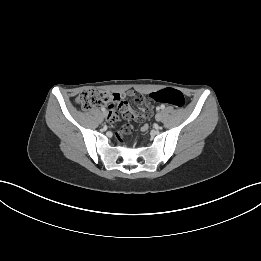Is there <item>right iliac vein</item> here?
Wrapping results in <instances>:
<instances>
[{"mask_svg": "<svg viewBox=\"0 0 261 261\" xmlns=\"http://www.w3.org/2000/svg\"><path fill=\"white\" fill-rule=\"evenodd\" d=\"M108 114L106 111L103 112V116L106 117Z\"/></svg>", "mask_w": 261, "mask_h": 261, "instance_id": "obj_1", "label": "right iliac vein"}]
</instances>
